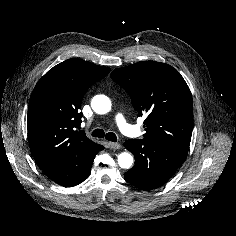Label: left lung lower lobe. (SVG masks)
<instances>
[{"instance_id":"obj_1","label":"left lung lower lobe","mask_w":236,"mask_h":236,"mask_svg":"<svg viewBox=\"0 0 236 236\" xmlns=\"http://www.w3.org/2000/svg\"><path fill=\"white\" fill-rule=\"evenodd\" d=\"M133 153L135 165L124 178L133 186L149 191L165 184L185 161L187 153L144 139L124 143Z\"/></svg>"}]
</instances>
